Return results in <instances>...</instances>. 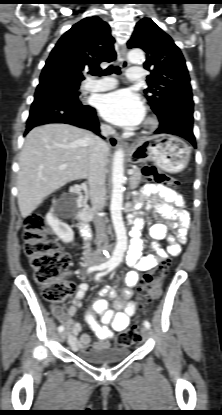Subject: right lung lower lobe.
<instances>
[{
    "mask_svg": "<svg viewBox=\"0 0 222 415\" xmlns=\"http://www.w3.org/2000/svg\"><path fill=\"white\" fill-rule=\"evenodd\" d=\"M34 97L25 134L35 126L59 122L100 135L95 109L83 105L79 97L70 92L66 79L51 74L40 77Z\"/></svg>",
    "mask_w": 222,
    "mask_h": 415,
    "instance_id": "98d812e1",
    "label": "right lung lower lobe"
}]
</instances>
